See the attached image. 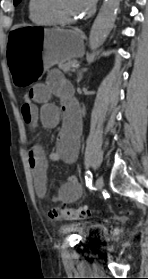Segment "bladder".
Returning a JSON list of instances; mask_svg holds the SVG:
<instances>
[{"instance_id":"1","label":"bladder","mask_w":148,"mask_h":279,"mask_svg":"<svg viewBox=\"0 0 148 279\" xmlns=\"http://www.w3.org/2000/svg\"><path fill=\"white\" fill-rule=\"evenodd\" d=\"M62 232H77L83 237H102L107 233L103 225L85 222L64 224L62 226Z\"/></svg>"}]
</instances>
